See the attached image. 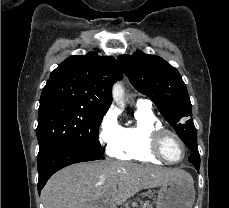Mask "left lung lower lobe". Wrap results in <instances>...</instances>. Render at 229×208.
I'll use <instances>...</instances> for the list:
<instances>
[{
    "label": "left lung lower lobe",
    "mask_w": 229,
    "mask_h": 208,
    "mask_svg": "<svg viewBox=\"0 0 229 208\" xmlns=\"http://www.w3.org/2000/svg\"><path fill=\"white\" fill-rule=\"evenodd\" d=\"M188 149L193 153L189 157V162L193 163L197 171L199 172L200 168V156L197 148V139L183 141Z\"/></svg>",
    "instance_id": "0a47b994"
}]
</instances>
